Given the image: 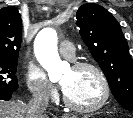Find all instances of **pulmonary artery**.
<instances>
[{"label": "pulmonary artery", "instance_id": "e3ab8cb5", "mask_svg": "<svg viewBox=\"0 0 133 118\" xmlns=\"http://www.w3.org/2000/svg\"><path fill=\"white\" fill-rule=\"evenodd\" d=\"M59 52L62 56L72 59L75 54V47L71 42L63 41L59 45Z\"/></svg>", "mask_w": 133, "mask_h": 118}]
</instances>
